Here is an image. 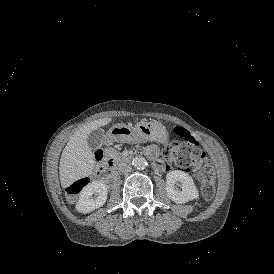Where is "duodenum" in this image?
Returning <instances> with one entry per match:
<instances>
[{"instance_id": "410a0bca", "label": "duodenum", "mask_w": 274, "mask_h": 274, "mask_svg": "<svg viewBox=\"0 0 274 274\" xmlns=\"http://www.w3.org/2000/svg\"><path fill=\"white\" fill-rule=\"evenodd\" d=\"M95 158L102 169L109 171L110 175L112 176L116 175L115 163L109 157H107L102 151H98L95 154ZM153 164L157 170H160V171L169 170L168 166H166L164 163H162L161 161L157 159H153Z\"/></svg>"}]
</instances>
